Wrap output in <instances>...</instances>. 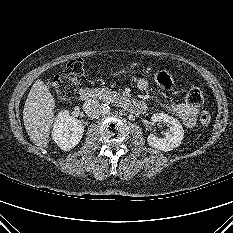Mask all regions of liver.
Segmentation results:
<instances>
[{"label":"liver","instance_id":"obj_1","mask_svg":"<svg viewBox=\"0 0 233 233\" xmlns=\"http://www.w3.org/2000/svg\"><path fill=\"white\" fill-rule=\"evenodd\" d=\"M55 105L49 88L42 80H36L24 105L23 122L30 140L37 146L48 147Z\"/></svg>","mask_w":233,"mask_h":233}]
</instances>
